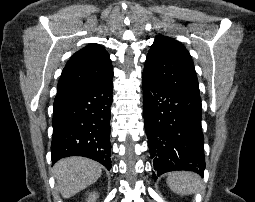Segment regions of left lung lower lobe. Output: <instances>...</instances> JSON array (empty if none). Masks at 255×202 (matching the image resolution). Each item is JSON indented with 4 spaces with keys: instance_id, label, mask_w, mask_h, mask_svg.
<instances>
[{
    "instance_id": "obj_1",
    "label": "left lung lower lobe",
    "mask_w": 255,
    "mask_h": 202,
    "mask_svg": "<svg viewBox=\"0 0 255 202\" xmlns=\"http://www.w3.org/2000/svg\"><path fill=\"white\" fill-rule=\"evenodd\" d=\"M142 78L143 117L153 177L174 170L194 171L203 176L200 96L161 86L143 74Z\"/></svg>"
}]
</instances>
